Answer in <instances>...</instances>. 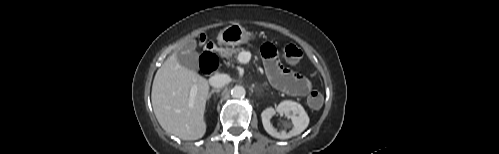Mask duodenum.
I'll return each instance as SVG.
<instances>
[{"instance_id": "duodenum-1", "label": "duodenum", "mask_w": 499, "mask_h": 154, "mask_svg": "<svg viewBox=\"0 0 499 154\" xmlns=\"http://www.w3.org/2000/svg\"><path fill=\"white\" fill-rule=\"evenodd\" d=\"M208 55H215L216 54L213 52L211 54H206L201 60H200V69L203 73L210 74L212 72H216V70H212L211 68L208 67L207 65V57Z\"/></svg>"}]
</instances>
